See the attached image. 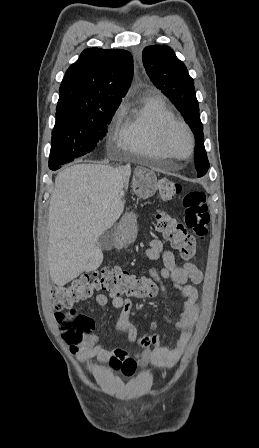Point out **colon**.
<instances>
[{"mask_svg": "<svg viewBox=\"0 0 259 448\" xmlns=\"http://www.w3.org/2000/svg\"><path fill=\"white\" fill-rule=\"evenodd\" d=\"M181 193V185L169 178L158 181V194L162 202H167ZM184 223H179L165 211L156 213V229L169 240L184 260H190L196 252L195 239L203 240L208 235L210 215L203 191H190L183 197ZM97 290H106L117 296L136 299L152 297L157 292L156 281L146 276H135L116 268H105L84 274L65 286L52 289L53 307L56 319L62 326L63 336L70 345H77L87 337L93 321L78 313L73 306L90 297ZM158 335H143L138 339L141 348H150Z\"/></svg>", "mask_w": 259, "mask_h": 448, "instance_id": "obj_1", "label": "colon"}]
</instances>
